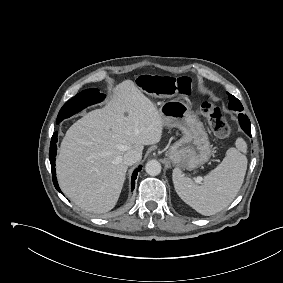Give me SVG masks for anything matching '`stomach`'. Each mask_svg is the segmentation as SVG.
<instances>
[{
    "label": "stomach",
    "instance_id": "obj_1",
    "mask_svg": "<svg viewBox=\"0 0 283 283\" xmlns=\"http://www.w3.org/2000/svg\"><path fill=\"white\" fill-rule=\"evenodd\" d=\"M165 127L179 128L183 136L170 148L168 157L178 168L193 170L212 155L211 144L202 122L180 100H170L159 109Z\"/></svg>",
    "mask_w": 283,
    "mask_h": 283
}]
</instances>
